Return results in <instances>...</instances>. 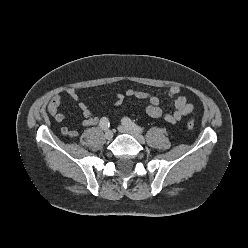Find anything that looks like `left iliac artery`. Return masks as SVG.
<instances>
[{"label": "left iliac artery", "instance_id": "1", "mask_svg": "<svg viewBox=\"0 0 248 248\" xmlns=\"http://www.w3.org/2000/svg\"><path fill=\"white\" fill-rule=\"evenodd\" d=\"M122 124L139 133L144 131L142 127L131 121L128 117L122 119Z\"/></svg>", "mask_w": 248, "mask_h": 248}]
</instances>
